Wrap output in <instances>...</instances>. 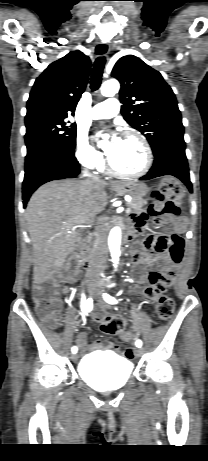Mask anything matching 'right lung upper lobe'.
I'll return each mask as SVG.
<instances>
[{
    "label": "right lung upper lobe",
    "mask_w": 208,
    "mask_h": 461,
    "mask_svg": "<svg viewBox=\"0 0 208 461\" xmlns=\"http://www.w3.org/2000/svg\"><path fill=\"white\" fill-rule=\"evenodd\" d=\"M90 67L89 57L79 50L51 63L33 85L26 116L74 115L88 82Z\"/></svg>",
    "instance_id": "1"
}]
</instances>
